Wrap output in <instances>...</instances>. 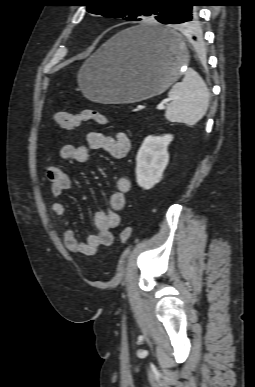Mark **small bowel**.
Instances as JSON below:
<instances>
[{
    "label": "small bowel",
    "instance_id": "obj_1",
    "mask_svg": "<svg viewBox=\"0 0 255 387\" xmlns=\"http://www.w3.org/2000/svg\"><path fill=\"white\" fill-rule=\"evenodd\" d=\"M131 149L129 137L122 131L114 137L97 131L86 135V143L80 146L65 144L59 150V156L65 161L86 162L93 150H104L115 159L125 158ZM46 178L54 197H60L72 187L70 176L60 167L50 165L46 168ZM131 190V181L121 176L116 180V190L109 198V210L97 211L94 214V225L97 232L89 235L86 240H79L75 232L69 228L65 205L60 201L51 204L52 213L58 217L64 226L63 242L66 249L72 253L93 256L100 247L110 246L114 242L113 230L120 224L119 213L125 208V195Z\"/></svg>",
    "mask_w": 255,
    "mask_h": 387
}]
</instances>
